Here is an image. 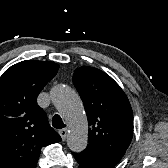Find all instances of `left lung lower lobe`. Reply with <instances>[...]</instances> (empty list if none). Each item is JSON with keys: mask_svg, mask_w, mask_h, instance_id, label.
Returning <instances> with one entry per match:
<instances>
[{"mask_svg": "<svg viewBox=\"0 0 168 168\" xmlns=\"http://www.w3.org/2000/svg\"><path fill=\"white\" fill-rule=\"evenodd\" d=\"M72 154L79 164L78 168H114L117 164L87 149Z\"/></svg>", "mask_w": 168, "mask_h": 168, "instance_id": "obj_1", "label": "left lung lower lobe"}]
</instances>
